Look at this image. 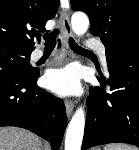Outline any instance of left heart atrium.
<instances>
[{
	"label": "left heart atrium",
	"instance_id": "left-heart-atrium-1",
	"mask_svg": "<svg viewBox=\"0 0 139 150\" xmlns=\"http://www.w3.org/2000/svg\"><path fill=\"white\" fill-rule=\"evenodd\" d=\"M44 84L48 89L61 96L80 92L79 73L72 67L49 71L44 77Z\"/></svg>",
	"mask_w": 139,
	"mask_h": 150
}]
</instances>
